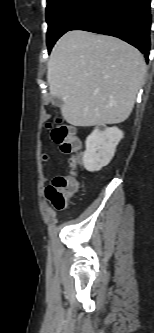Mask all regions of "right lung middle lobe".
<instances>
[{
  "instance_id": "dd1d6c3e",
  "label": "right lung middle lobe",
  "mask_w": 154,
  "mask_h": 333,
  "mask_svg": "<svg viewBox=\"0 0 154 333\" xmlns=\"http://www.w3.org/2000/svg\"><path fill=\"white\" fill-rule=\"evenodd\" d=\"M99 0H47V46L50 51L67 31L76 25Z\"/></svg>"
}]
</instances>
